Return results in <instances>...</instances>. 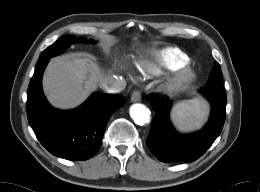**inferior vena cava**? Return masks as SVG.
Here are the masks:
<instances>
[{"label": "inferior vena cava", "instance_id": "obj_1", "mask_svg": "<svg viewBox=\"0 0 260 192\" xmlns=\"http://www.w3.org/2000/svg\"><path fill=\"white\" fill-rule=\"evenodd\" d=\"M99 85L107 93H119L126 86L125 82L119 80L116 76L105 77Z\"/></svg>", "mask_w": 260, "mask_h": 192}]
</instances>
